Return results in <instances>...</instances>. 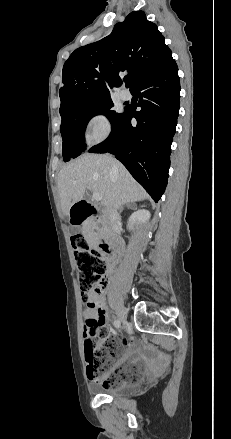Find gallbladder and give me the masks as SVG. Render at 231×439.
I'll return each instance as SVG.
<instances>
[{
    "instance_id": "obj_1",
    "label": "gallbladder",
    "mask_w": 231,
    "mask_h": 439,
    "mask_svg": "<svg viewBox=\"0 0 231 439\" xmlns=\"http://www.w3.org/2000/svg\"><path fill=\"white\" fill-rule=\"evenodd\" d=\"M78 231H79V229H78L77 227H73V228H71V230H70L71 234H75V233H77Z\"/></svg>"
}]
</instances>
